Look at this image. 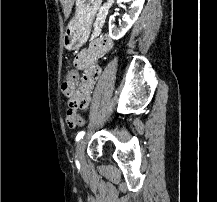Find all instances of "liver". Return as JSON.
Returning <instances> with one entry per match:
<instances>
[{"label":"liver","mask_w":217,"mask_h":202,"mask_svg":"<svg viewBox=\"0 0 217 202\" xmlns=\"http://www.w3.org/2000/svg\"><path fill=\"white\" fill-rule=\"evenodd\" d=\"M60 2L63 6V12L65 14V18H69L75 0H60Z\"/></svg>","instance_id":"liver-1"}]
</instances>
